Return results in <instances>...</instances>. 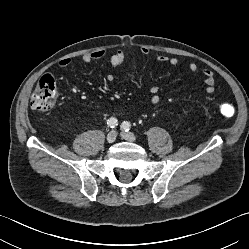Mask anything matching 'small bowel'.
Segmentation results:
<instances>
[{"mask_svg":"<svg viewBox=\"0 0 249 249\" xmlns=\"http://www.w3.org/2000/svg\"><path fill=\"white\" fill-rule=\"evenodd\" d=\"M106 55L105 51L103 50H97L91 53H87L83 55L82 60L85 63H90L95 60H100L104 58ZM140 55L143 57H146L149 55V50L147 49H141ZM129 54L124 50H116L114 51L110 57H109V64L112 70H117L124 61L128 58ZM156 60L162 64H168L171 66H176L179 64V59L177 57H169L167 55H157ZM72 59L70 58H64L59 61L60 67H68L72 64ZM187 69L195 74L198 71V65L194 62H188L187 63ZM202 77L205 84V91L209 94L213 93L215 91V76L214 73L210 69H203L202 70ZM114 75L112 73L107 75L108 81H113ZM150 104L152 106H156L161 101V95H160V89L157 85H152L150 87Z\"/></svg>","mask_w":249,"mask_h":249,"instance_id":"obj_1","label":"small bowel"}]
</instances>
